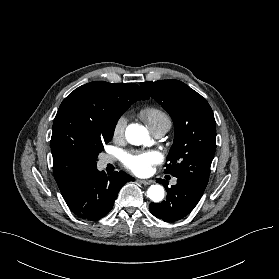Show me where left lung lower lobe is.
Masks as SVG:
<instances>
[{
  "instance_id": "1",
  "label": "left lung lower lobe",
  "mask_w": 279,
  "mask_h": 279,
  "mask_svg": "<svg viewBox=\"0 0 279 279\" xmlns=\"http://www.w3.org/2000/svg\"><path fill=\"white\" fill-rule=\"evenodd\" d=\"M166 201L161 203H151L149 205L150 212L157 218L163 219L165 222H173L182 219L188 215L201 199L206 186L195 181L178 178L177 184L168 188Z\"/></svg>"
}]
</instances>
